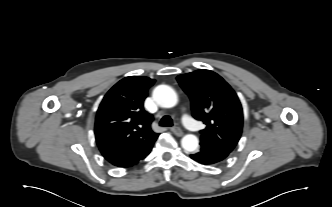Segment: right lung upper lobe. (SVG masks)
Returning <instances> with one entry per match:
<instances>
[{"instance_id": "obj_1", "label": "right lung upper lobe", "mask_w": 332, "mask_h": 207, "mask_svg": "<svg viewBox=\"0 0 332 207\" xmlns=\"http://www.w3.org/2000/svg\"><path fill=\"white\" fill-rule=\"evenodd\" d=\"M154 82L145 76L126 77L108 91L98 108L96 142L105 159L115 166L137 164L159 136L152 131L153 118L143 107Z\"/></svg>"}]
</instances>
